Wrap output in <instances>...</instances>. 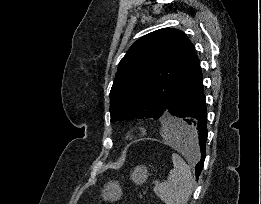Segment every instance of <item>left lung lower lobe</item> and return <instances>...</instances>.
<instances>
[{
	"label": "left lung lower lobe",
	"mask_w": 261,
	"mask_h": 204,
	"mask_svg": "<svg viewBox=\"0 0 261 204\" xmlns=\"http://www.w3.org/2000/svg\"><path fill=\"white\" fill-rule=\"evenodd\" d=\"M165 114L168 118L170 114L179 117L184 122L172 129L175 137L185 145L188 152L195 153L191 143L197 142L200 160L196 164L195 172L198 179L206 157L207 110L203 77L196 55L169 100Z\"/></svg>",
	"instance_id": "obj_1"
}]
</instances>
